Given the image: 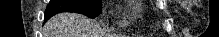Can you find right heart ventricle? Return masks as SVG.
<instances>
[{
    "mask_svg": "<svg viewBox=\"0 0 219 37\" xmlns=\"http://www.w3.org/2000/svg\"><path fill=\"white\" fill-rule=\"evenodd\" d=\"M145 7L141 3H134L131 7V12L135 15H140L144 11Z\"/></svg>",
    "mask_w": 219,
    "mask_h": 37,
    "instance_id": "1",
    "label": "right heart ventricle"
}]
</instances>
